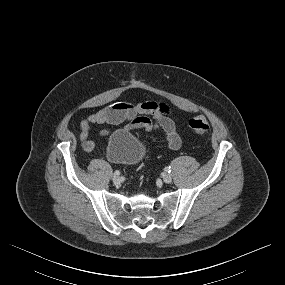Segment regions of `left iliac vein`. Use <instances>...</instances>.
Wrapping results in <instances>:
<instances>
[{
    "label": "left iliac vein",
    "instance_id": "1",
    "mask_svg": "<svg viewBox=\"0 0 285 285\" xmlns=\"http://www.w3.org/2000/svg\"><path fill=\"white\" fill-rule=\"evenodd\" d=\"M163 181H164L165 183H171V182H172V177H171V175L165 174V175L163 176Z\"/></svg>",
    "mask_w": 285,
    "mask_h": 285
}]
</instances>
